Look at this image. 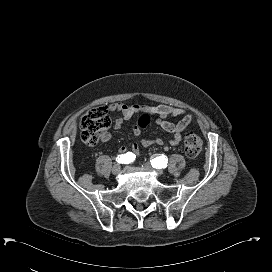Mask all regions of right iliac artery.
I'll list each match as a JSON object with an SVG mask.
<instances>
[{
	"instance_id": "right-iliac-artery-1",
	"label": "right iliac artery",
	"mask_w": 272,
	"mask_h": 272,
	"mask_svg": "<svg viewBox=\"0 0 272 272\" xmlns=\"http://www.w3.org/2000/svg\"><path fill=\"white\" fill-rule=\"evenodd\" d=\"M116 160L118 163L129 164L135 160V155L131 152H127L126 154L119 155Z\"/></svg>"
}]
</instances>
